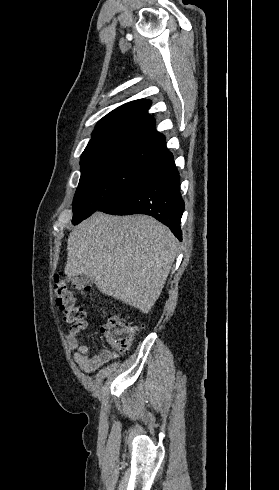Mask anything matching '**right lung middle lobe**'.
<instances>
[{"label":"right lung middle lobe","mask_w":279,"mask_h":490,"mask_svg":"<svg viewBox=\"0 0 279 490\" xmlns=\"http://www.w3.org/2000/svg\"><path fill=\"white\" fill-rule=\"evenodd\" d=\"M157 169V164L128 160L96 162L81 167L73 200L74 225L97 211L112 193L140 182Z\"/></svg>","instance_id":"dd1d6c3e"}]
</instances>
